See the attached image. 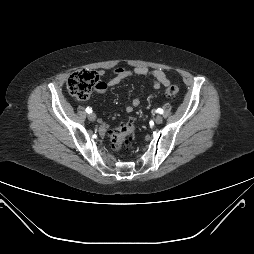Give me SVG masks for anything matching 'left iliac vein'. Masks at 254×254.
I'll return each mask as SVG.
<instances>
[{
    "mask_svg": "<svg viewBox=\"0 0 254 254\" xmlns=\"http://www.w3.org/2000/svg\"><path fill=\"white\" fill-rule=\"evenodd\" d=\"M162 122H163L162 116L158 115V116L155 118V123H156V124H161Z\"/></svg>",
    "mask_w": 254,
    "mask_h": 254,
    "instance_id": "1",
    "label": "left iliac vein"
}]
</instances>
